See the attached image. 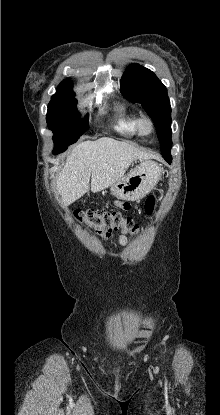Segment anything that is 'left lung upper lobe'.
<instances>
[{
    "mask_svg": "<svg viewBox=\"0 0 220 415\" xmlns=\"http://www.w3.org/2000/svg\"><path fill=\"white\" fill-rule=\"evenodd\" d=\"M120 91L132 102L141 103L155 124L162 156L171 155V106L166 87L151 70L131 64L123 74Z\"/></svg>",
    "mask_w": 220,
    "mask_h": 415,
    "instance_id": "5c2ea615",
    "label": "left lung upper lobe"
}]
</instances>
